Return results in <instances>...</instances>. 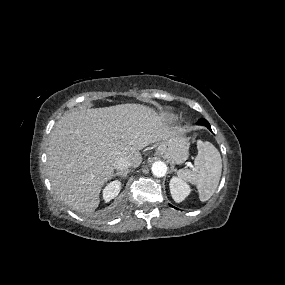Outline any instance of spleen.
<instances>
[{
  "label": "spleen",
  "instance_id": "obj_1",
  "mask_svg": "<svg viewBox=\"0 0 285 285\" xmlns=\"http://www.w3.org/2000/svg\"><path fill=\"white\" fill-rule=\"evenodd\" d=\"M198 153L194 169H181L178 176L197 187L200 201L210 199L218 187L222 172V160L217 148L210 142L197 141Z\"/></svg>",
  "mask_w": 285,
  "mask_h": 285
}]
</instances>
